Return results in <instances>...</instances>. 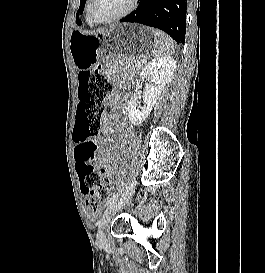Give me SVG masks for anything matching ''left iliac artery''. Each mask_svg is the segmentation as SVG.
<instances>
[{"label":"left iliac artery","mask_w":265,"mask_h":273,"mask_svg":"<svg viewBox=\"0 0 265 273\" xmlns=\"http://www.w3.org/2000/svg\"><path fill=\"white\" fill-rule=\"evenodd\" d=\"M120 196V193H116L114 194L112 197H110L107 201V205H111L112 203H114L118 197Z\"/></svg>","instance_id":"obj_1"}]
</instances>
